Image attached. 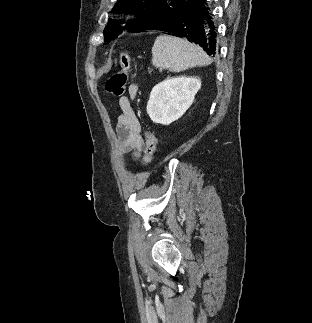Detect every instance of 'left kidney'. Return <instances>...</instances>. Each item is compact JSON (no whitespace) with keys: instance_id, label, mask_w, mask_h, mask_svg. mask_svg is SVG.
<instances>
[{"instance_id":"left-kidney-1","label":"left kidney","mask_w":312,"mask_h":323,"mask_svg":"<svg viewBox=\"0 0 312 323\" xmlns=\"http://www.w3.org/2000/svg\"><path fill=\"white\" fill-rule=\"evenodd\" d=\"M201 88L198 78H170L154 86L147 104V114L155 124H172L190 108Z\"/></svg>"}]
</instances>
